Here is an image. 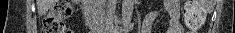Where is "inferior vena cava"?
I'll return each mask as SVG.
<instances>
[{
  "mask_svg": "<svg viewBox=\"0 0 235 33\" xmlns=\"http://www.w3.org/2000/svg\"><path fill=\"white\" fill-rule=\"evenodd\" d=\"M106 20L109 22H112L113 17H114V10L112 7H108L106 10Z\"/></svg>",
  "mask_w": 235,
  "mask_h": 33,
  "instance_id": "obj_1",
  "label": "inferior vena cava"
}]
</instances>
